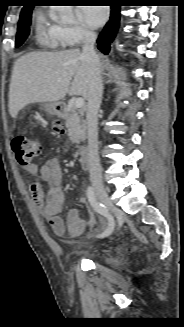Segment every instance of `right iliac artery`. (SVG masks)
Segmentation results:
<instances>
[{
    "label": "right iliac artery",
    "mask_w": 184,
    "mask_h": 327,
    "mask_svg": "<svg viewBox=\"0 0 184 327\" xmlns=\"http://www.w3.org/2000/svg\"><path fill=\"white\" fill-rule=\"evenodd\" d=\"M86 195H87V198H88V201L90 203V205L93 207V209L103 215L104 217L107 218L108 220V226H107V229L101 233L100 235H98L99 238H104V237H107L109 236L112 231L114 230V219L113 217L108 213L106 207L100 203L95 195V192L93 190V188L91 186H89L86 190Z\"/></svg>",
    "instance_id": "1"
}]
</instances>
